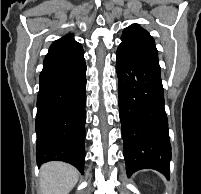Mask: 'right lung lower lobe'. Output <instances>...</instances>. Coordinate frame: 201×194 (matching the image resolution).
<instances>
[{
	"label": "right lung lower lobe",
	"instance_id": "98d812e1",
	"mask_svg": "<svg viewBox=\"0 0 201 194\" xmlns=\"http://www.w3.org/2000/svg\"><path fill=\"white\" fill-rule=\"evenodd\" d=\"M36 160L64 161L84 172L86 64L46 66L40 73Z\"/></svg>",
	"mask_w": 201,
	"mask_h": 194
}]
</instances>
